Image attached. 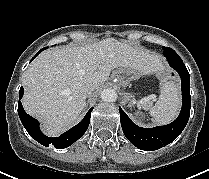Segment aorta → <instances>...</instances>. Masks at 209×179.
<instances>
[{
    "instance_id": "aorta-1",
    "label": "aorta",
    "mask_w": 209,
    "mask_h": 179,
    "mask_svg": "<svg viewBox=\"0 0 209 179\" xmlns=\"http://www.w3.org/2000/svg\"><path fill=\"white\" fill-rule=\"evenodd\" d=\"M101 99L104 102H114L117 99V92L111 88L104 89L101 93Z\"/></svg>"
}]
</instances>
